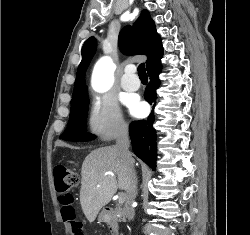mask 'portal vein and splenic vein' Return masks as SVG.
Here are the masks:
<instances>
[{
	"mask_svg": "<svg viewBox=\"0 0 250 235\" xmlns=\"http://www.w3.org/2000/svg\"><path fill=\"white\" fill-rule=\"evenodd\" d=\"M119 201L120 202L124 201V194L123 193L120 194Z\"/></svg>",
	"mask_w": 250,
	"mask_h": 235,
	"instance_id": "obj_1",
	"label": "portal vein and splenic vein"
}]
</instances>
